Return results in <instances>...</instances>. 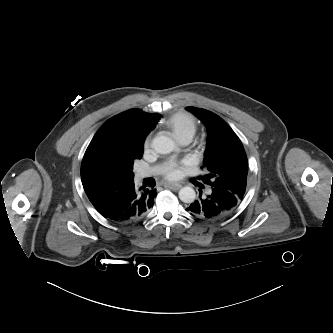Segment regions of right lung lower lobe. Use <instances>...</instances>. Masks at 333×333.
Listing matches in <instances>:
<instances>
[{
  "label": "right lung lower lobe",
  "instance_id": "obj_1",
  "mask_svg": "<svg viewBox=\"0 0 333 333\" xmlns=\"http://www.w3.org/2000/svg\"><path fill=\"white\" fill-rule=\"evenodd\" d=\"M87 197L105 218L120 224L134 222L153 206L156 190H135L134 182L95 184L84 187Z\"/></svg>",
  "mask_w": 333,
  "mask_h": 333
}]
</instances>
